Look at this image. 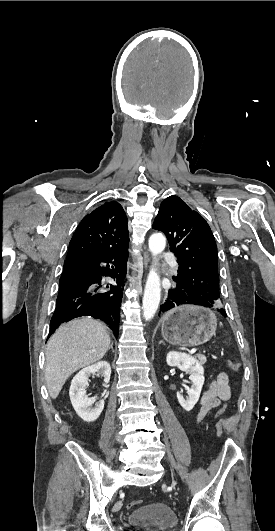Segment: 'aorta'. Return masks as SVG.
Returning <instances> with one entry per match:
<instances>
[{
    "mask_svg": "<svg viewBox=\"0 0 275 531\" xmlns=\"http://www.w3.org/2000/svg\"><path fill=\"white\" fill-rule=\"evenodd\" d=\"M166 239L163 235H151L149 239V251L153 257L160 255L164 251ZM161 285L160 277L156 273V269H151L147 277L144 297H143V317L145 321L153 319L160 303Z\"/></svg>",
    "mask_w": 275,
    "mask_h": 531,
    "instance_id": "762f6f07",
    "label": "aorta"
}]
</instances>
